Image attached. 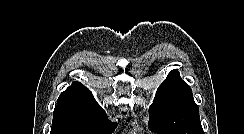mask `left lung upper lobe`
<instances>
[{
    "instance_id": "5c2ea615",
    "label": "left lung upper lobe",
    "mask_w": 244,
    "mask_h": 134,
    "mask_svg": "<svg viewBox=\"0 0 244 134\" xmlns=\"http://www.w3.org/2000/svg\"><path fill=\"white\" fill-rule=\"evenodd\" d=\"M150 126L161 134H204L190 86L172 70L149 108Z\"/></svg>"
}]
</instances>
